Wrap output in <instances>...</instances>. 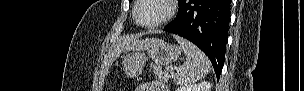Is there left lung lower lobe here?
I'll return each mask as SVG.
<instances>
[{"label": "left lung lower lobe", "mask_w": 304, "mask_h": 91, "mask_svg": "<svg viewBox=\"0 0 304 91\" xmlns=\"http://www.w3.org/2000/svg\"><path fill=\"white\" fill-rule=\"evenodd\" d=\"M230 0H180L175 20L164 30L197 45L210 59L219 79L225 59Z\"/></svg>", "instance_id": "1"}]
</instances>
